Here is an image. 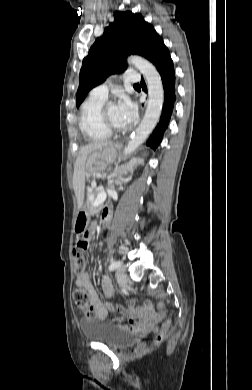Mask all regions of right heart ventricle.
<instances>
[{
  "label": "right heart ventricle",
  "instance_id": "right-heart-ventricle-1",
  "mask_svg": "<svg viewBox=\"0 0 252 390\" xmlns=\"http://www.w3.org/2000/svg\"><path fill=\"white\" fill-rule=\"evenodd\" d=\"M105 101L106 99L89 95L81 105L79 128L89 141H105L111 136V134L103 128L100 121V111Z\"/></svg>",
  "mask_w": 252,
  "mask_h": 390
}]
</instances>
